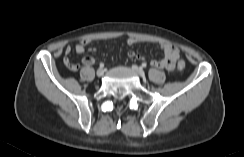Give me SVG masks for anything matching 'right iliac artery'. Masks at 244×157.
<instances>
[{
    "label": "right iliac artery",
    "instance_id": "obj_1",
    "mask_svg": "<svg viewBox=\"0 0 244 157\" xmlns=\"http://www.w3.org/2000/svg\"><path fill=\"white\" fill-rule=\"evenodd\" d=\"M100 68H103L104 67V63H100Z\"/></svg>",
    "mask_w": 244,
    "mask_h": 157
}]
</instances>
